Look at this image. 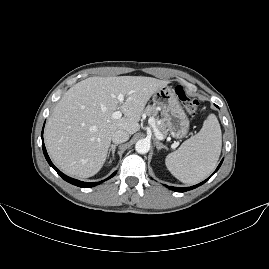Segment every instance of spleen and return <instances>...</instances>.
Here are the masks:
<instances>
[{
	"instance_id": "spleen-1",
	"label": "spleen",
	"mask_w": 269,
	"mask_h": 269,
	"mask_svg": "<svg viewBox=\"0 0 269 269\" xmlns=\"http://www.w3.org/2000/svg\"><path fill=\"white\" fill-rule=\"evenodd\" d=\"M222 148L220 124L210 114L199 133L184 141L178 150L167 155L166 167L183 183L196 184L215 169Z\"/></svg>"
}]
</instances>
